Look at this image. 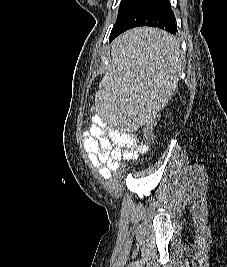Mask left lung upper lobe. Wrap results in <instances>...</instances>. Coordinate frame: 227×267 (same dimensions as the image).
Masks as SVG:
<instances>
[{
    "mask_svg": "<svg viewBox=\"0 0 227 267\" xmlns=\"http://www.w3.org/2000/svg\"><path fill=\"white\" fill-rule=\"evenodd\" d=\"M127 0H121L120 6L124 4Z\"/></svg>",
    "mask_w": 227,
    "mask_h": 267,
    "instance_id": "obj_1",
    "label": "left lung upper lobe"
}]
</instances>
